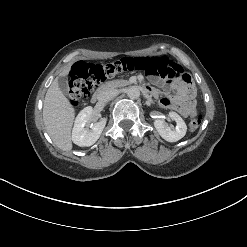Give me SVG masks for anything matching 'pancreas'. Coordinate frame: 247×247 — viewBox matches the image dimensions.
Returning <instances> with one entry per match:
<instances>
[{
  "mask_svg": "<svg viewBox=\"0 0 247 247\" xmlns=\"http://www.w3.org/2000/svg\"><path fill=\"white\" fill-rule=\"evenodd\" d=\"M129 84V81L127 80H115L108 83L109 87L116 88L121 86H126Z\"/></svg>",
  "mask_w": 247,
  "mask_h": 247,
  "instance_id": "1",
  "label": "pancreas"
}]
</instances>
